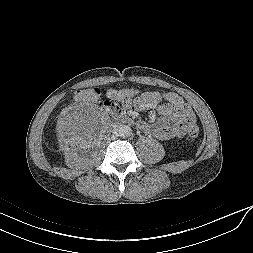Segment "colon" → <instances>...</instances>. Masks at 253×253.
Returning a JSON list of instances; mask_svg holds the SVG:
<instances>
[{
    "mask_svg": "<svg viewBox=\"0 0 253 253\" xmlns=\"http://www.w3.org/2000/svg\"><path fill=\"white\" fill-rule=\"evenodd\" d=\"M137 93L138 91L135 89L110 90L107 93V98L112 100L127 101ZM78 96L83 100H97L101 96V89L97 87L86 89L79 92ZM187 133L190 137L194 138L199 134V127L193 123L188 127Z\"/></svg>",
    "mask_w": 253,
    "mask_h": 253,
    "instance_id": "5ec220e1",
    "label": "colon"
}]
</instances>
